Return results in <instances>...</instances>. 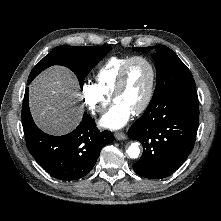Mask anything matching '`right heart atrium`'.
Listing matches in <instances>:
<instances>
[{"mask_svg": "<svg viewBox=\"0 0 221 221\" xmlns=\"http://www.w3.org/2000/svg\"><path fill=\"white\" fill-rule=\"evenodd\" d=\"M81 95L85 106L93 115H100L110 103V98L105 96L91 82H84L81 86Z\"/></svg>", "mask_w": 221, "mask_h": 221, "instance_id": "right-heart-atrium-1", "label": "right heart atrium"}]
</instances>
